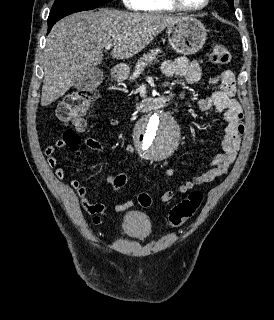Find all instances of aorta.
<instances>
[{
	"label": "aorta",
	"instance_id": "1",
	"mask_svg": "<svg viewBox=\"0 0 274 320\" xmlns=\"http://www.w3.org/2000/svg\"><path fill=\"white\" fill-rule=\"evenodd\" d=\"M179 141V127L173 117L165 112L154 113L142 121L136 131V142L141 153L151 161H161L171 156Z\"/></svg>",
	"mask_w": 274,
	"mask_h": 320
}]
</instances>
